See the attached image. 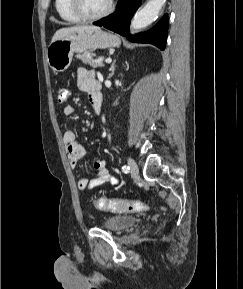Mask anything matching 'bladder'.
Segmentation results:
<instances>
[{"label":"bladder","mask_w":243,"mask_h":289,"mask_svg":"<svg viewBox=\"0 0 243 289\" xmlns=\"http://www.w3.org/2000/svg\"><path fill=\"white\" fill-rule=\"evenodd\" d=\"M138 219L131 215H111L103 220V227L112 231H122L132 227Z\"/></svg>","instance_id":"obj_1"}]
</instances>
